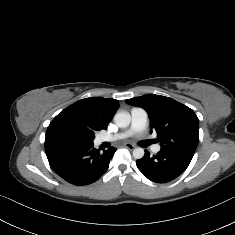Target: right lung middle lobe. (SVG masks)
Instances as JSON below:
<instances>
[{"label":"right lung middle lobe","instance_id":"obj_1","mask_svg":"<svg viewBox=\"0 0 235 235\" xmlns=\"http://www.w3.org/2000/svg\"><path fill=\"white\" fill-rule=\"evenodd\" d=\"M62 136L70 142H93L94 133L77 124H67L62 129Z\"/></svg>","mask_w":235,"mask_h":235}]
</instances>
